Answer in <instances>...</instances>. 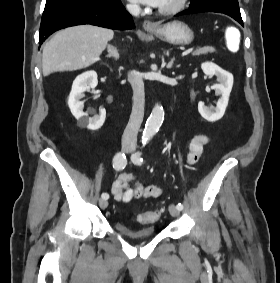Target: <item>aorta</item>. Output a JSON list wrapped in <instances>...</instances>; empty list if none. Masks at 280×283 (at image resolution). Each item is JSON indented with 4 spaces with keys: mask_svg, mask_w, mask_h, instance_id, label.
<instances>
[{
    "mask_svg": "<svg viewBox=\"0 0 280 283\" xmlns=\"http://www.w3.org/2000/svg\"><path fill=\"white\" fill-rule=\"evenodd\" d=\"M164 120V110L159 104H156L146 122L143 132V139L148 140L152 138L159 130Z\"/></svg>",
    "mask_w": 280,
    "mask_h": 283,
    "instance_id": "1",
    "label": "aorta"
}]
</instances>
